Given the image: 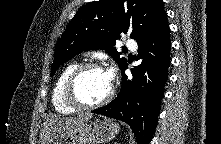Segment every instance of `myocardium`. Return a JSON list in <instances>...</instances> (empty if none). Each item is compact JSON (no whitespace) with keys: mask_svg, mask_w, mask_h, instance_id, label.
Wrapping results in <instances>:
<instances>
[{"mask_svg":"<svg viewBox=\"0 0 221 144\" xmlns=\"http://www.w3.org/2000/svg\"><path fill=\"white\" fill-rule=\"evenodd\" d=\"M90 69L104 70V67L100 63L93 61L81 63L71 72L64 84L63 94L65 102L76 110H89L98 108L108 103L113 97L114 87L112 84L108 93L101 100L95 103H85L78 97L76 91L77 82L82 74Z\"/></svg>","mask_w":221,"mask_h":144,"instance_id":"1","label":"myocardium"}]
</instances>
